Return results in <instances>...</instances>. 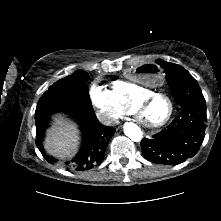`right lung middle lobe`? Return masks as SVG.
Here are the masks:
<instances>
[{
  "label": "right lung middle lobe",
  "instance_id": "dd1d6c3e",
  "mask_svg": "<svg viewBox=\"0 0 221 221\" xmlns=\"http://www.w3.org/2000/svg\"><path fill=\"white\" fill-rule=\"evenodd\" d=\"M86 77L85 72L77 71L74 77H65L50 86L38 101L35 123L48 119L55 111L93 113L88 87L84 83Z\"/></svg>",
  "mask_w": 221,
  "mask_h": 221
}]
</instances>
